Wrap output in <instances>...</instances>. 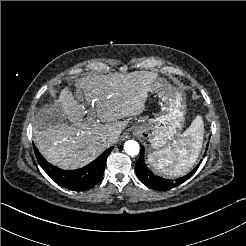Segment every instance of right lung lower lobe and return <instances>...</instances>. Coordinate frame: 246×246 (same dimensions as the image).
<instances>
[{"label":"right lung lower lobe","instance_id":"obj_1","mask_svg":"<svg viewBox=\"0 0 246 246\" xmlns=\"http://www.w3.org/2000/svg\"><path fill=\"white\" fill-rule=\"evenodd\" d=\"M112 149L113 148L110 147L96 160L81 169L66 171L48 163L39 153L38 149L34 147L37 160L44 171L56 183L74 191L88 190L100 182L104 173L106 159Z\"/></svg>","mask_w":246,"mask_h":246}]
</instances>
